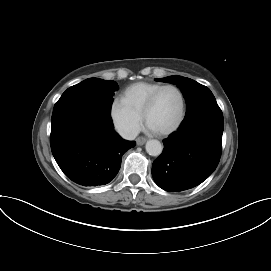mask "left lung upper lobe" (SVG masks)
Masks as SVG:
<instances>
[{
	"label": "left lung upper lobe",
	"mask_w": 271,
	"mask_h": 271,
	"mask_svg": "<svg viewBox=\"0 0 271 271\" xmlns=\"http://www.w3.org/2000/svg\"><path fill=\"white\" fill-rule=\"evenodd\" d=\"M156 80L176 84L181 89L186 100V116L199 108L217 105L210 89L190 78L169 76Z\"/></svg>",
	"instance_id": "left-lung-upper-lobe-1"
}]
</instances>
